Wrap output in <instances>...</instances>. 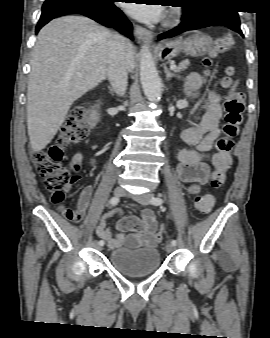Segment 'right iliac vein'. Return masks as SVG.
Here are the masks:
<instances>
[{
    "label": "right iliac vein",
    "instance_id": "63e3f726",
    "mask_svg": "<svg viewBox=\"0 0 270 338\" xmlns=\"http://www.w3.org/2000/svg\"><path fill=\"white\" fill-rule=\"evenodd\" d=\"M113 193H114V195H115L116 197H120V196L123 195L124 190H123L121 187H116V188L114 189ZM93 246H94L95 248H97V249H101V246L98 244V242H94V243H93Z\"/></svg>",
    "mask_w": 270,
    "mask_h": 338
}]
</instances>
